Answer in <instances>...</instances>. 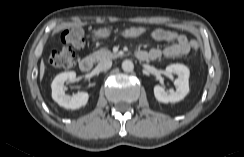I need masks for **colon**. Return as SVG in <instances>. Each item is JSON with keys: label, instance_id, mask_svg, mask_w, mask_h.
Segmentation results:
<instances>
[{"label": "colon", "instance_id": "obj_1", "mask_svg": "<svg viewBox=\"0 0 244 157\" xmlns=\"http://www.w3.org/2000/svg\"><path fill=\"white\" fill-rule=\"evenodd\" d=\"M148 33V29L142 26H131L121 30V36L125 38H135ZM61 40L63 47L55 50L50 55V64L54 68L70 70L75 64V50L83 47L85 44L84 32L81 28H67L61 32ZM193 51H199V43L195 40L191 41Z\"/></svg>", "mask_w": 244, "mask_h": 157}]
</instances>
